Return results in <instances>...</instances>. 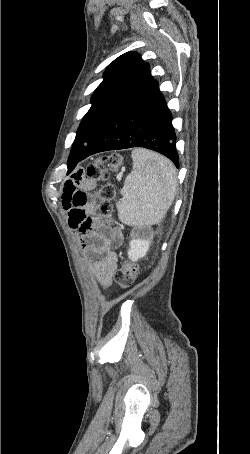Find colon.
I'll return each mask as SVG.
<instances>
[{
	"instance_id": "obj_1",
	"label": "colon",
	"mask_w": 250,
	"mask_h": 454,
	"mask_svg": "<svg viewBox=\"0 0 250 454\" xmlns=\"http://www.w3.org/2000/svg\"><path fill=\"white\" fill-rule=\"evenodd\" d=\"M121 163V155L113 153L101 157L95 164L90 165L86 170V174L89 178L104 183L98 191L99 202L91 210L92 217L102 222H111V200L115 190L114 186L109 183L108 180L112 173L118 171ZM138 272V264L126 260L122 262L121 267L114 273V278L122 288H127L135 282Z\"/></svg>"
}]
</instances>
